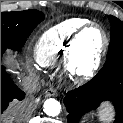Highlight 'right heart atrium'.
<instances>
[{
	"mask_svg": "<svg viewBox=\"0 0 123 123\" xmlns=\"http://www.w3.org/2000/svg\"><path fill=\"white\" fill-rule=\"evenodd\" d=\"M32 70H34V69H36V67L35 66H32V67H30Z\"/></svg>",
	"mask_w": 123,
	"mask_h": 123,
	"instance_id": "obj_1",
	"label": "right heart atrium"
}]
</instances>
